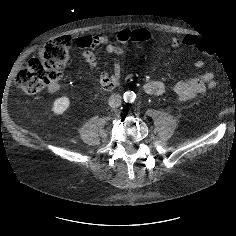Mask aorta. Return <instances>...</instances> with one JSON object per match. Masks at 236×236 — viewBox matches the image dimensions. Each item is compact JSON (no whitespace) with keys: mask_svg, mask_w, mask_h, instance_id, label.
Masks as SVG:
<instances>
[{"mask_svg":"<svg viewBox=\"0 0 236 236\" xmlns=\"http://www.w3.org/2000/svg\"><path fill=\"white\" fill-rule=\"evenodd\" d=\"M135 99V94L132 91H128L124 94V100L126 102H133Z\"/></svg>","mask_w":236,"mask_h":236,"instance_id":"aorta-1","label":"aorta"}]
</instances>
